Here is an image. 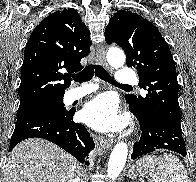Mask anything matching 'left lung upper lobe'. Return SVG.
Instances as JSON below:
<instances>
[{"mask_svg": "<svg viewBox=\"0 0 196 182\" xmlns=\"http://www.w3.org/2000/svg\"><path fill=\"white\" fill-rule=\"evenodd\" d=\"M106 42L117 43L126 53V63L138 70L139 86L145 97L127 95L137 111L157 110L180 123L178 81L171 51L158 29L147 19L120 10L105 30Z\"/></svg>", "mask_w": 196, "mask_h": 182, "instance_id": "5c2ea615", "label": "left lung upper lobe"}]
</instances>
